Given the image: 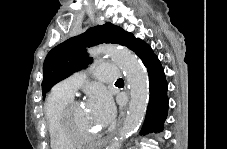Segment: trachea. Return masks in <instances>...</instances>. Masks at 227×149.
Segmentation results:
<instances>
[{
  "mask_svg": "<svg viewBox=\"0 0 227 149\" xmlns=\"http://www.w3.org/2000/svg\"><path fill=\"white\" fill-rule=\"evenodd\" d=\"M120 82H123V79H119L116 81V83H120Z\"/></svg>",
  "mask_w": 227,
  "mask_h": 149,
  "instance_id": "obj_1",
  "label": "trachea"
}]
</instances>
